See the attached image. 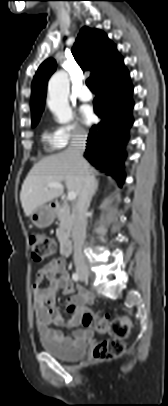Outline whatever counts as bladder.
<instances>
[{"mask_svg": "<svg viewBox=\"0 0 168 406\" xmlns=\"http://www.w3.org/2000/svg\"><path fill=\"white\" fill-rule=\"evenodd\" d=\"M40 343L46 353L63 361H75L81 359L85 356L87 351V345L83 342L65 346L53 343L41 336Z\"/></svg>", "mask_w": 168, "mask_h": 406, "instance_id": "31cf9c89", "label": "bladder"}]
</instances>
